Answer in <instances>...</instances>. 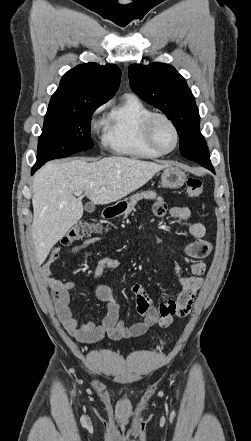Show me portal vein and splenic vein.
<instances>
[{
    "label": "portal vein and splenic vein",
    "instance_id": "1",
    "mask_svg": "<svg viewBox=\"0 0 251 441\" xmlns=\"http://www.w3.org/2000/svg\"><path fill=\"white\" fill-rule=\"evenodd\" d=\"M101 189H102V190H105L106 188H105L104 186H102ZM81 194H82V191L74 192V195H75V196H80Z\"/></svg>",
    "mask_w": 251,
    "mask_h": 441
}]
</instances>
